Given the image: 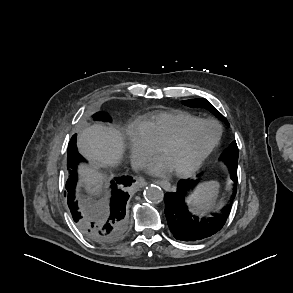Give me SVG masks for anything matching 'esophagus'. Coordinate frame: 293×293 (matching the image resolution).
I'll return each mask as SVG.
<instances>
[{
	"label": "esophagus",
	"instance_id": "34e87169",
	"mask_svg": "<svg viewBox=\"0 0 293 293\" xmlns=\"http://www.w3.org/2000/svg\"><path fill=\"white\" fill-rule=\"evenodd\" d=\"M136 181L139 187H144L147 185V182L141 177H136ZM155 183L165 187H168L170 185L167 181H155Z\"/></svg>",
	"mask_w": 293,
	"mask_h": 293
}]
</instances>
